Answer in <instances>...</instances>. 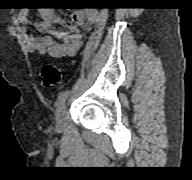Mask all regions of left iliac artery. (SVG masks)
I'll use <instances>...</instances> for the list:
<instances>
[{"label":"left iliac artery","instance_id":"obj_1","mask_svg":"<svg viewBox=\"0 0 192 180\" xmlns=\"http://www.w3.org/2000/svg\"><path fill=\"white\" fill-rule=\"evenodd\" d=\"M69 94H70V91L67 90V91H65V92H63V93H61L59 95V97L57 99V103H56L58 109L65 103V101L68 98Z\"/></svg>","mask_w":192,"mask_h":180}]
</instances>
